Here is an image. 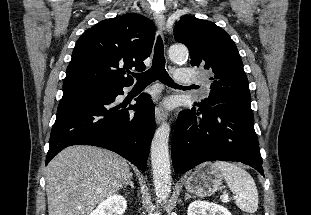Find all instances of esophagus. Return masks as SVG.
<instances>
[{
    "label": "esophagus",
    "mask_w": 311,
    "mask_h": 215,
    "mask_svg": "<svg viewBox=\"0 0 311 215\" xmlns=\"http://www.w3.org/2000/svg\"><path fill=\"white\" fill-rule=\"evenodd\" d=\"M154 19L156 22V25L159 29V31L164 34L165 33V17L162 12H155L154 13ZM167 117L166 112L160 107L157 106L155 108V119L156 123L160 124L162 121H164Z\"/></svg>",
    "instance_id": "34e87169"
}]
</instances>
